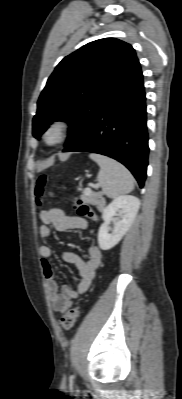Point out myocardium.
Returning <instances> with one entry per match:
<instances>
[{
    "label": "myocardium",
    "instance_id": "obj_1",
    "mask_svg": "<svg viewBox=\"0 0 182 399\" xmlns=\"http://www.w3.org/2000/svg\"><path fill=\"white\" fill-rule=\"evenodd\" d=\"M71 122L66 118H56L53 119L46 127L43 133V140L49 146H55L61 144L69 135L71 131ZM56 131L58 137L55 141L50 142L48 140V135L50 132Z\"/></svg>",
    "mask_w": 182,
    "mask_h": 399
}]
</instances>
